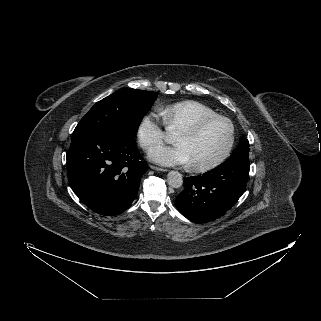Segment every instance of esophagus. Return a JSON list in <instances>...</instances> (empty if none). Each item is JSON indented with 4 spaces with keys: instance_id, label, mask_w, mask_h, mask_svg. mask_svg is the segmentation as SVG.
Wrapping results in <instances>:
<instances>
[{
    "instance_id": "obj_1",
    "label": "esophagus",
    "mask_w": 321,
    "mask_h": 321,
    "mask_svg": "<svg viewBox=\"0 0 321 321\" xmlns=\"http://www.w3.org/2000/svg\"><path fill=\"white\" fill-rule=\"evenodd\" d=\"M151 169L157 170V171H161V172H166L167 169L165 168H161V167H157V166H153L151 165Z\"/></svg>"
}]
</instances>
